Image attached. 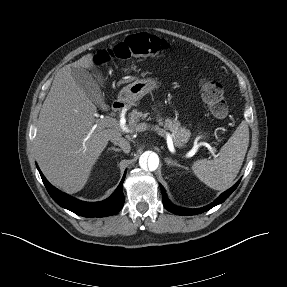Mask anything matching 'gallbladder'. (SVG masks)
<instances>
[{"label":"gallbladder","instance_id":"bac80fb5","mask_svg":"<svg viewBox=\"0 0 287 287\" xmlns=\"http://www.w3.org/2000/svg\"><path fill=\"white\" fill-rule=\"evenodd\" d=\"M71 75L84 94L95 104L104 108V96L94 76L85 68H71Z\"/></svg>","mask_w":287,"mask_h":287}]
</instances>
